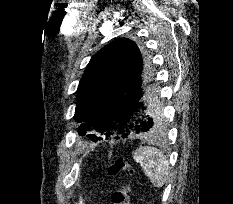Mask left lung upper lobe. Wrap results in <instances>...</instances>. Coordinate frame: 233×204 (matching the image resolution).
Returning a JSON list of instances; mask_svg holds the SVG:
<instances>
[{"mask_svg": "<svg viewBox=\"0 0 233 204\" xmlns=\"http://www.w3.org/2000/svg\"><path fill=\"white\" fill-rule=\"evenodd\" d=\"M150 65L138 46L130 39L121 38L106 45L90 60L79 83L74 118L83 122L79 135L94 142L102 137L119 136V107L131 84ZM159 130L163 126L161 107L155 111Z\"/></svg>", "mask_w": 233, "mask_h": 204, "instance_id": "obj_1", "label": "left lung upper lobe"}]
</instances>
